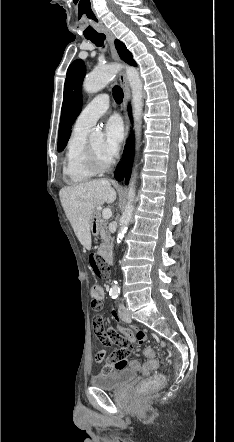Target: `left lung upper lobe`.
<instances>
[{
  "label": "left lung upper lobe",
  "instance_id": "left-lung-upper-lobe-1",
  "mask_svg": "<svg viewBox=\"0 0 234 442\" xmlns=\"http://www.w3.org/2000/svg\"><path fill=\"white\" fill-rule=\"evenodd\" d=\"M115 46L123 61L136 66L131 53L126 49L123 43L116 40ZM85 74L86 67L80 59L73 61L67 70L59 126L58 151H62L66 146L71 134V127L81 111V88Z\"/></svg>",
  "mask_w": 234,
  "mask_h": 442
}]
</instances>
